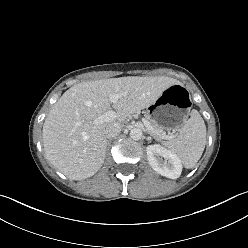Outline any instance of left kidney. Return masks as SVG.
Returning <instances> with one entry per match:
<instances>
[{"instance_id": "5707ae66", "label": "left kidney", "mask_w": 248, "mask_h": 248, "mask_svg": "<svg viewBox=\"0 0 248 248\" xmlns=\"http://www.w3.org/2000/svg\"><path fill=\"white\" fill-rule=\"evenodd\" d=\"M146 151L148 162L154 171L170 179L181 175V161L170 150L156 144L147 146Z\"/></svg>"}]
</instances>
